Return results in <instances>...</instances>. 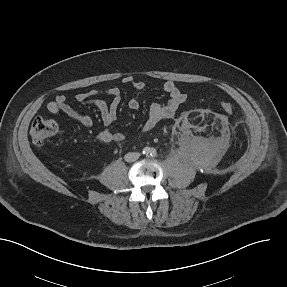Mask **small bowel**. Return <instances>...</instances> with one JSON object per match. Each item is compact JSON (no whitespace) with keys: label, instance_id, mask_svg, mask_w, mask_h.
Listing matches in <instances>:
<instances>
[{"label":"small bowel","instance_id":"1","mask_svg":"<svg viewBox=\"0 0 287 287\" xmlns=\"http://www.w3.org/2000/svg\"><path fill=\"white\" fill-rule=\"evenodd\" d=\"M122 83L132 86L137 94L128 101V106L132 110L140 107L139 95L146 89L147 85L133 76L127 75L122 78ZM162 89L168 94L169 99L165 103H153L149 107L148 116L143 124L144 131H150L164 119L171 118L175 115L178 108L185 102L186 95L181 91L174 81H167L163 84ZM104 97H108L109 101ZM75 101L83 105L94 106L100 113L104 129L98 132L97 138L103 143L123 142L126 136L121 132H113L110 127L116 121L117 111L122 101V93L118 87H111L106 90H91L81 92L75 95ZM47 110L53 115L65 114L72 120L85 127L93 125L92 118L84 113L79 112L67 103L64 95H58L47 104Z\"/></svg>","mask_w":287,"mask_h":287}]
</instances>
